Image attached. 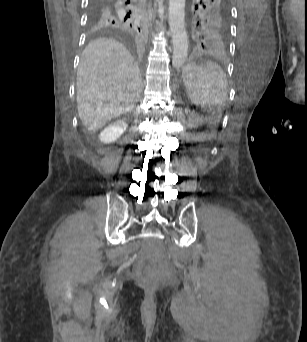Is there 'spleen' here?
Instances as JSON below:
<instances>
[{"label":"spleen","mask_w":307,"mask_h":342,"mask_svg":"<svg viewBox=\"0 0 307 342\" xmlns=\"http://www.w3.org/2000/svg\"><path fill=\"white\" fill-rule=\"evenodd\" d=\"M184 66L183 82L185 90H189V100L202 106L206 114H221L225 109L227 96V78L224 70L218 64H212L210 58H202L204 65L194 64L190 59Z\"/></svg>","instance_id":"3e777b00"}]
</instances>
